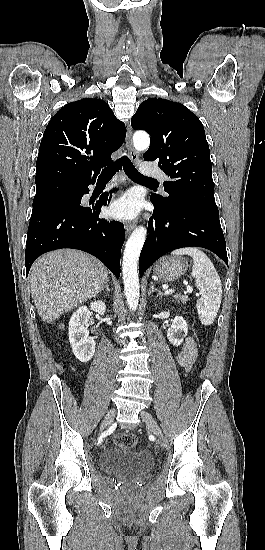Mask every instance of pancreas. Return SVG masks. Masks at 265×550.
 I'll list each match as a JSON object with an SVG mask.
<instances>
[{
	"label": "pancreas",
	"instance_id": "obj_1",
	"mask_svg": "<svg viewBox=\"0 0 265 550\" xmlns=\"http://www.w3.org/2000/svg\"><path fill=\"white\" fill-rule=\"evenodd\" d=\"M174 298L180 302V303H183L185 304L187 301H188V297L187 296H184V295H181V294H176L174 295Z\"/></svg>",
	"mask_w": 265,
	"mask_h": 550
}]
</instances>
